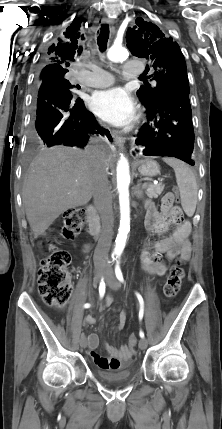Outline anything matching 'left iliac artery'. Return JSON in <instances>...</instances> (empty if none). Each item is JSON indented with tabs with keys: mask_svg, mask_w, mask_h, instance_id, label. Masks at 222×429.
<instances>
[{
	"mask_svg": "<svg viewBox=\"0 0 222 429\" xmlns=\"http://www.w3.org/2000/svg\"><path fill=\"white\" fill-rule=\"evenodd\" d=\"M115 274L117 279L120 282H124V278L120 269V265H119V261H117L116 266H115ZM136 296L138 298L139 304H140V310H139V319L141 320L143 318V314H144V301L142 296L139 293H136ZM139 335L141 338H144V332L142 330H140Z\"/></svg>",
	"mask_w": 222,
	"mask_h": 429,
	"instance_id": "left-iliac-artery-1",
	"label": "left iliac artery"
}]
</instances>
